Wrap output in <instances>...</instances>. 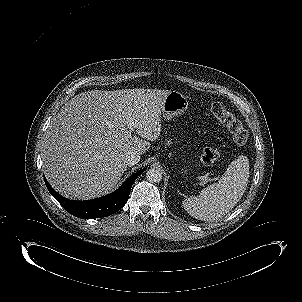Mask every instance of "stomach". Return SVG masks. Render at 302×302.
I'll use <instances>...</instances> for the list:
<instances>
[{
    "label": "stomach",
    "mask_w": 302,
    "mask_h": 302,
    "mask_svg": "<svg viewBox=\"0 0 302 302\" xmlns=\"http://www.w3.org/2000/svg\"><path fill=\"white\" fill-rule=\"evenodd\" d=\"M188 98L179 91H170L164 98L161 112L164 118L170 119L185 112L188 108ZM186 173L187 168L182 169Z\"/></svg>",
    "instance_id": "stomach-1"
}]
</instances>
